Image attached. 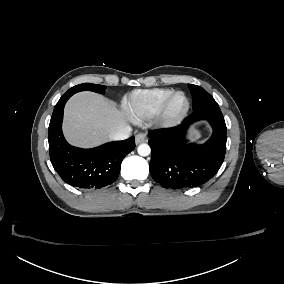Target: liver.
I'll use <instances>...</instances> for the list:
<instances>
[{
    "mask_svg": "<svg viewBox=\"0 0 284 284\" xmlns=\"http://www.w3.org/2000/svg\"><path fill=\"white\" fill-rule=\"evenodd\" d=\"M127 125L124 112L104 96L94 92H80L73 95L64 110L63 131L73 145L93 147L112 139V136ZM191 140L201 134L194 127L190 129Z\"/></svg>",
    "mask_w": 284,
    "mask_h": 284,
    "instance_id": "obj_1",
    "label": "liver"
}]
</instances>
